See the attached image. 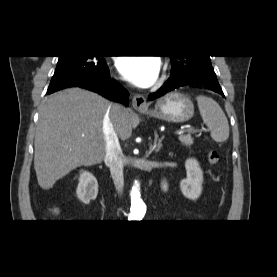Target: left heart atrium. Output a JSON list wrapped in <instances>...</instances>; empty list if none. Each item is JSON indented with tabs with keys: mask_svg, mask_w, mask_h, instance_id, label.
Masks as SVG:
<instances>
[{
	"mask_svg": "<svg viewBox=\"0 0 277 277\" xmlns=\"http://www.w3.org/2000/svg\"><path fill=\"white\" fill-rule=\"evenodd\" d=\"M124 79L139 87L152 85L159 73L160 63L154 57H120L116 63Z\"/></svg>",
	"mask_w": 277,
	"mask_h": 277,
	"instance_id": "1",
	"label": "left heart atrium"
}]
</instances>
